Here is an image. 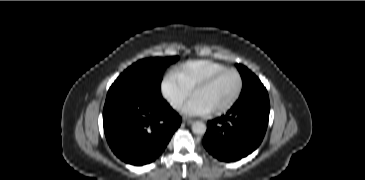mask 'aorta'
Returning <instances> with one entry per match:
<instances>
[{
  "instance_id": "aorta-1",
  "label": "aorta",
  "mask_w": 365,
  "mask_h": 180,
  "mask_svg": "<svg viewBox=\"0 0 365 180\" xmlns=\"http://www.w3.org/2000/svg\"><path fill=\"white\" fill-rule=\"evenodd\" d=\"M206 125L203 122L196 121L192 124V132L196 135H203L206 132Z\"/></svg>"
}]
</instances>
